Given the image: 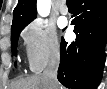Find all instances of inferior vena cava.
Wrapping results in <instances>:
<instances>
[{
    "label": "inferior vena cava",
    "mask_w": 107,
    "mask_h": 89,
    "mask_svg": "<svg viewBox=\"0 0 107 89\" xmlns=\"http://www.w3.org/2000/svg\"><path fill=\"white\" fill-rule=\"evenodd\" d=\"M60 64V55H55L43 72V76L48 80L50 89H58L57 71Z\"/></svg>",
    "instance_id": "obj_1"
}]
</instances>
